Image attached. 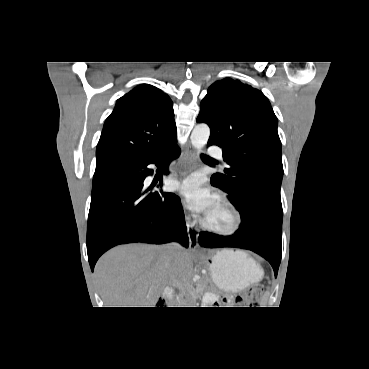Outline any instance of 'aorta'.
I'll list each match as a JSON object with an SVG mask.
<instances>
[{
    "label": "aorta",
    "mask_w": 369,
    "mask_h": 369,
    "mask_svg": "<svg viewBox=\"0 0 369 369\" xmlns=\"http://www.w3.org/2000/svg\"><path fill=\"white\" fill-rule=\"evenodd\" d=\"M210 136V128L206 124H198L194 127L191 133V144L197 150L201 149L207 144Z\"/></svg>",
    "instance_id": "aorta-1"
}]
</instances>
